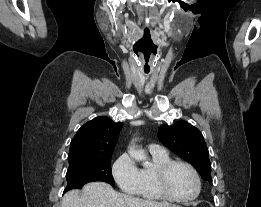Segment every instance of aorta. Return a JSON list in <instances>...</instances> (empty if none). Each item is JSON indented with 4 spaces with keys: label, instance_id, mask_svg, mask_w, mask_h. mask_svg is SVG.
I'll use <instances>...</instances> for the list:
<instances>
[{
    "label": "aorta",
    "instance_id": "aorta-1",
    "mask_svg": "<svg viewBox=\"0 0 261 207\" xmlns=\"http://www.w3.org/2000/svg\"><path fill=\"white\" fill-rule=\"evenodd\" d=\"M128 153L135 160L143 162L144 166L149 165V162L147 161V156L144 153V151L138 150L135 147L134 139L132 140L131 145L129 146Z\"/></svg>",
    "mask_w": 261,
    "mask_h": 207
}]
</instances>
